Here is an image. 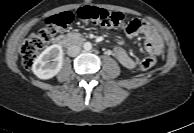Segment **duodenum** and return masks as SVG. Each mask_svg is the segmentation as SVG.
<instances>
[{
  "instance_id": "obj_1",
  "label": "duodenum",
  "mask_w": 194,
  "mask_h": 133,
  "mask_svg": "<svg viewBox=\"0 0 194 133\" xmlns=\"http://www.w3.org/2000/svg\"><path fill=\"white\" fill-rule=\"evenodd\" d=\"M82 42H83V39L75 35H70V36L60 35L56 37L54 40V43L61 47H70Z\"/></svg>"
}]
</instances>
